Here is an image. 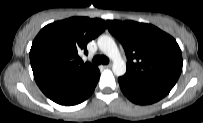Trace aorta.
Returning <instances> with one entry per match:
<instances>
[{
  "label": "aorta",
  "instance_id": "1",
  "mask_svg": "<svg viewBox=\"0 0 203 123\" xmlns=\"http://www.w3.org/2000/svg\"><path fill=\"white\" fill-rule=\"evenodd\" d=\"M99 49L113 61L112 71L116 76H122L126 72V63L121 57L120 51L111 36L101 35L97 41Z\"/></svg>",
  "mask_w": 203,
  "mask_h": 123
}]
</instances>
